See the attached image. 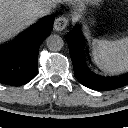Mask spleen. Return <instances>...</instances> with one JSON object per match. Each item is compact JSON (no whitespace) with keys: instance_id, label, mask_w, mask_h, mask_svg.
<instances>
[{"instance_id":"obj_1","label":"spleen","mask_w":128,"mask_h":128,"mask_svg":"<svg viewBox=\"0 0 128 128\" xmlns=\"http://www.w3.org/2000/svg\"><path fill=\"white\" fill-rule=\"evenodd\" d=\"M93 54L97 65L111 73L128 71V37L119 40H98L93 42Z\"/></svg>"}]
</instances>
